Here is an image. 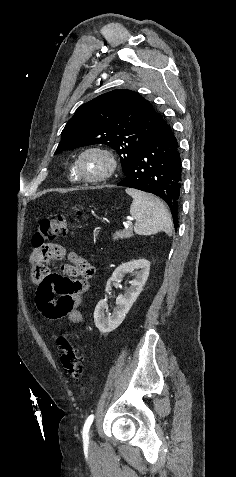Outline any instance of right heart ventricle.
Masks as SVG:
<instances>
[{
	"label": "right heart ventricle",
	"mask_w": 236,
	"mask_h": 477,
	"mask_svg": "<svg viewBox=\"0 0 236 477\" xmlns=\"http://www.w3.org/2000/svg\"><path fill=\"white\" fill-rule=\"evenodd\" d=\"M69 179H70L71 182H78V181H79V180H78V177H77V175H76V173H75V171H74V168H71V169H70Z\"/></svg>",
	"instance_id": "obj_1"
}]
</instances>
